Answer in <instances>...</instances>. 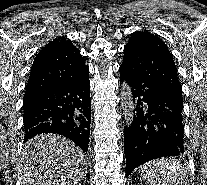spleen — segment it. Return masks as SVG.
I'll use <instances>...</instances> for the list:
<instances>
[{"mask_svg":"<svg viewBox=\"0 0 207 185\" xmlns=\"http://www.w3.org/2000/svg\"><path fill=\"white\" fill-rule=\"evenodd\" d=\"M136 177H147L150 185H186L189 174L179 159H151L143 166H135Z\"/></svg>","mask_w":207,"mask_h":185,"instance_id":"spleen-1","label":"spleen"}]
</instances>
